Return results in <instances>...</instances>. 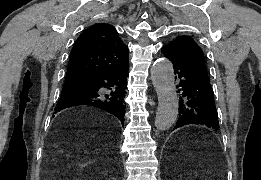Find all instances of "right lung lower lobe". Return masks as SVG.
I'll return each instance as SVG.
<instances>
[{
    "instance_id": "1",
    "label": "right lung lower lobe",
    "mask_w": 261,
    "mask_h": 180,
    "mask_svg": "<svg viewBox=\"0 0 261 180\" xmlns=\"http://www.w3.org/2000/svg\"><path fill=\"white\" fill-rule=\"evenodd\" d=\"M128 64L98 73L88 82V88L61 96L56 111L76 105H88L106 110L124 123ZM110 90V92L105 91Z\"/></svg>"
}]
</instances>
